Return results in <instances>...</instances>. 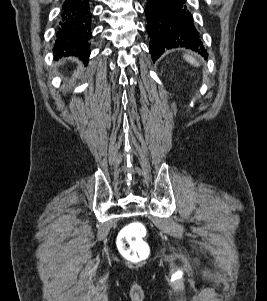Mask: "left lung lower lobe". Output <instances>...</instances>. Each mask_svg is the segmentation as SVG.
<instances>
[{
	"label": "left lung lower lobe",
	"mask_w": 267,
	"mask_h": 301,
	"mask_svg": "<svg viewBox=\"0 0 267 301\" xmlns=\"http://www.w3.org/2000/svg\"><path fill=\"white\" fill-rule=\"evenodd\" d=\"M186 0H147L146 30L151 37L150 53L157 60L165 50L185 47L205 59L208 54L197 32Z\"/></svg>",
	"instance_id": "left-lung-lower-lobe-1"
}]
</instances>
